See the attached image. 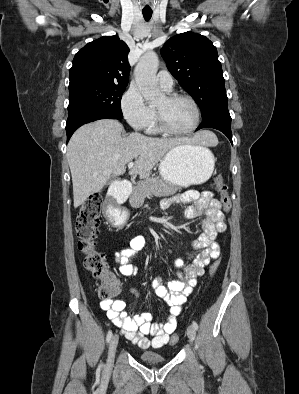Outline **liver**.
Masks as SVG:
<instances>
[{"instance_id":"1","label":"liver","mask_w":299,"mask_h":394,"mask_svg":"<svg viewBox=\"0 0 299 394\" xmlns=\"http://www.w3.org/2000/svg\"><path fill=\"white\" fill-rule=\"evenodd\" d=\"M124 128L113 119H101L80 127L67 147V160L73 183L74 207L100 192L111 176L123 175L126 164L136 158L130 175L148 177L154 166L173 147L183 143H218L216 136L201 131L187 138H156L134 132L122 136ZM138 157V158H137Z\"/></svg>"}]
</instances>
